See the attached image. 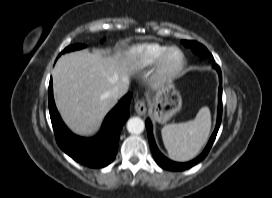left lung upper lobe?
<instances>
[{"instance_id": "1", "label": "left lung upper lobe", "mask_w": 272, "mask_h": 198, "mask_svg": "<svg viewBox=\"0 0 272 198\" xmlns=\"http://www.w3.org/2000/svg\"><path fill=\"white\" fill-rule=\"evenodd\" d=\"M182 43L185 46L190 47L199 56L212 58L211 53L202 44L196 41H187V40H182Z\"/></svg>"}]
</instances>
